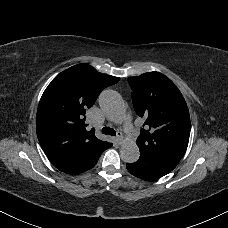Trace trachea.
I'll return each instance as SVG.
<instances>
[{"label":"trachea","mask_w":228,"mask_h":228,"mask_svg":"<svg viewBox=\"0 0 228 228\" xmlns=\"http://www.w3.org/2000/svg\"><path fill=\"white\" fill-rule=\"evenodd\" d=\"M102 133L105 135L116 136V131L113 128L105 126L102 128Z\"/></svg>","instance_id":"3493384b"}]
</instances>
